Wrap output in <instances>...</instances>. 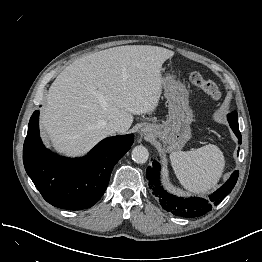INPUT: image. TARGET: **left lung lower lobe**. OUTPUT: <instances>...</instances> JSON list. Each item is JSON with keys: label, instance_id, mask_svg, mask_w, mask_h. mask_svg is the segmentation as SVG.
<instances>
[{"label": "left lung lower lobe", "instance_id": "0a47b994", "mask_svg": "<svg viewBox=\"0 0 262 262\" xmlns=\"http://www.w3.org/2000/svg\"><path fill=\"white\" fill-rule=\"evenodd\" d=\"M228 121L241 144V133L239 131L238 122L234 121V119H228ZM160 169V164L154 160L146 171V177L149 180L152 194L159 199L163 209L176 216L186 218L202 216L209 212L213 206L218 205L232 191L239 174V171H234L227 182L207 198H184L172 195L163 188L160 181Z\"/></svg>", "mask_w": 262, "mask_h": 262}]
</instances>
